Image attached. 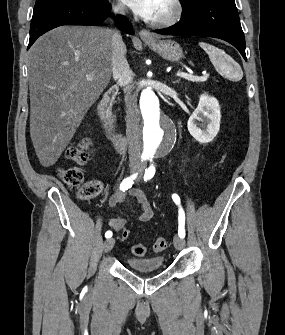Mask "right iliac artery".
I'll return each mask as SVG.
<instances>
[{
  "label": "right iliac artery",
  "mask_w": 285,
  "mask_h": 335,
  "mask_svg": "<svg viewBox=\"0 0 285 335\" xmlns=\"http://www.w3.org/2000/svg\"><path fill=\"white\" fill-rule=\"evenodd\" d=\"M137 175H138V173H135V174L131 175L130 177H127L126 179H124L122 181V183L120 184V190H122L124 192L125 190H128L129 188H131L133 183H134L133 181L137 177ZM105 237L106 238L112 237V232L107 231L105 233Z\"/></svg>",
  "instance_id": "right-iliac-artery-1"
}]
</instances>
